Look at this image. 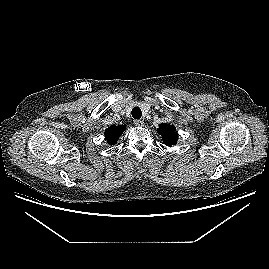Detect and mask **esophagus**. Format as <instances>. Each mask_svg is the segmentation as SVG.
<instances>
[{
    "instance_id": "esophagus-1",
    "label": "esophagus",
    "mask_w": 269,
    "mask_h": 269,
    "mask_svg": "<svg viewBox=\"0 0 269 269\" xmlns=\"http://www.w3.org/2000/svg\"><path fill=\"white\" fill-rule=\"evenodd\" d=\"M134 124L138 127H142L145 123L143 120H134Z\"/></svg>"
}]
</instances>
